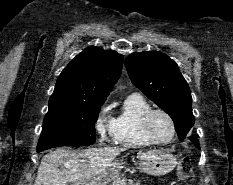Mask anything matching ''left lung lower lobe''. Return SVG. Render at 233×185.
<instances>
[{
  "label": "left lung lower lobe",
  "mask_w": 233,
  "mask_h": 185,
  "mask_svg": "<svg viewBox=\"0 0 233 185\" xmlns=\"http://www.w3.org/2000/svg\"><path fill=\"white\" fill-rule=\"evenodd\" d=\"M193 143L194 145L200 149V146H199V142H198V139L196 137H188Z\"/></svg>",
  "instance_id": "left-lung-lower-lobe-1"
}]
</instances>
